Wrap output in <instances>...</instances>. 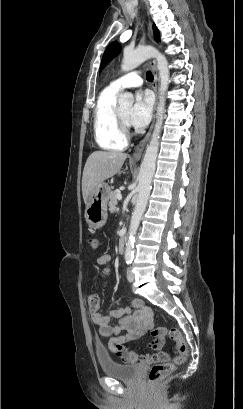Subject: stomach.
Listing matches in <instances>:
<instances>
[{
	"instance_id": "1",
	"label": "stomach",
	"mask_w": 243,
	"mask_h": 409,
	"mask_svg": "<svg viewBox=\"0 0 243 409\" xmlns=\"http://www.w3.org/2000/svg\"><path fill=\"white\" fill-rule=\"evenodd\" d=\"M110 197L111 189L104 182L92 192L85 209L86 222L91 228L98 229L106 223L107 203Z\"/></svg>"
}]
</instances>
